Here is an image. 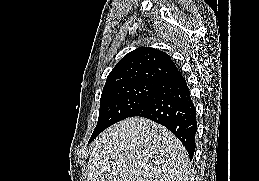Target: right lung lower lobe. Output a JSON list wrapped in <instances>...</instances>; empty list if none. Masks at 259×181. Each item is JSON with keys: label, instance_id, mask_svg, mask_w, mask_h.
Returning <instances> with one entry per match:
<instances>
[{"label": "right lung lower lobe", "instance_id": "obj_1", "mask_svg": "<svg viewBox=\"0 0 259 181\" xmlns=\"http://www.w3.org/2000/svg\"><path fill=\"white\" fill-rule=\"evenodd\" d=\"M133 116L148 118L168 128L181 140L192 159L197 131L196 110L186 80L179 70L164 78Z\"/></svg>", "mask_w": 259, "mask_h": 181}]
</instances>
